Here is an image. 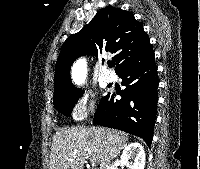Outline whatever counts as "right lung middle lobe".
I'll return each mask as SVG.
<instances>
[{"label": "right lung middle lobe", "mask_w": 200, "mask_h": 169, "mask_svg": "<svg viewBox=\"0 0 200 169\" xmlns=\"http://www.w3.org/2000/svg\"><path fill=\"white\" fill-rule=\"evenodd\" d=\"M82 94V90L78 89L74 92L54 97L53 102L58 111H61L66 116H70L75 103Z\"/></svg>", "instance_id": "dd1d6c3e"}]
</instances>
